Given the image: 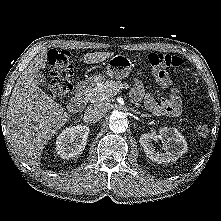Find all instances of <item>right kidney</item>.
I'll return each instance as SVG.
<instances>
[{"label": "right kidney", "instance_id": "1", "mask_svg": "<svg viewBox=\"0 0 221 221\" xmlns=\"http://www.w3.org/2000/svg\"><path fill=\"white\" fill-rule=\"evenodd\" d=\"M89 127L77 125L67 127L56 138V152L62 159L74 158L84 150Z\"/></svg>", "mask_w": 221, "mask_h": 221}]
</instances>
